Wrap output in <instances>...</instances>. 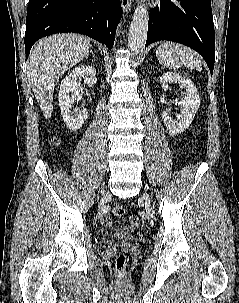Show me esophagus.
<instances>
[{"label": "esophagus", "mask_w": 239, "mask_h": 303, "mask_svg": "<svg viewBox=\"0 0 239 303\" xmlns=\"http://www.w3.org/2000/svg\"><path fill=\"white\" fill-rule=\"evenodd\" d=\"M122 9L124 12H128L131 6V0H121Z\"/></svg>", "instance_id": "esophagus-1"}]
</instances>
